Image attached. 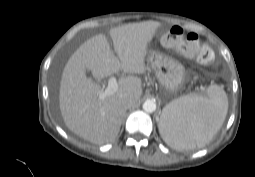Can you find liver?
I'll use <instances>...</instances> for the list:
<instances>
[{
	"label": "liver",
	"instance_id": "6515ba94",
	"mask_svg": "<svg viewBox=\"0 0 255 177\" xmlns=\"http://www.w3.org/2000/svg\"><path fill=\"white\" fill-rule=\"evenodd\" d=\"M160 23L146 21L112 28L115 56L105 35L99 34L84 42L64 67L59 107L66 126L79 137L98 145L113 141L120 130L126 109L123 100L132 97L136 102L142 95L141 79L123 76L118 90L101 100V86L86 76L92 72L99 81L122 70L143 74L144 58Z\"/></svg>",
	"mask_w": 255,
	"mask_h": 177
}]
</instances>
